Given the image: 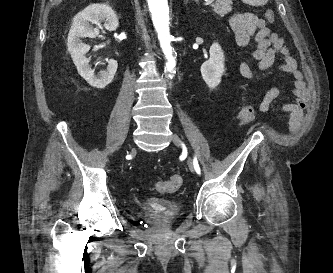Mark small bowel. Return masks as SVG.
Listing matches in <instances>:
<instances>
[{"instance_id":"c3829d8e","label":"small bowel","mask_w":333,"mask_h":273,"mask_svg":"<svg viewBox=\"0 0 333 273\" xmlns=\"http://www.w3.org/2000/svg\"><path fill=\"white\" fill-rule=\"evenodd\" d=\"M229 24L239 46L249 47L252 43L254 44L252 56L256 61L255 68L244 61L238 64V72L243 78L258 81L269 76L273 69L283 71L292 77V95L295 101L287 104L285 109L290 112L292 123L295 124L304 107L303 79L297 68V62L286 47L283 38L269 28L265 19L250 11L233 13ZM278 55H282L283 61L275 65ZM280 92L281 90L277 87L269 89L256 103V108L261 112L267 111Z\"/></svg>"}]
</instances>
